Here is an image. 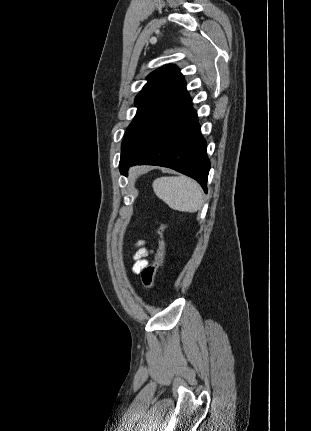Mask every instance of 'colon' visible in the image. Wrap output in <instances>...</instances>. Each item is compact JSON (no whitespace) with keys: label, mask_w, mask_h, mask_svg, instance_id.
I'll use <instances>...</instances> for the list:
<instances>
[{"label":"colon","mask_w":311,"mask_h":431,"mask_svg":"<svg viewBox=\"0 0 311 431\" xmlns=\"http://www.w3.org/2000/svg\"><path fill=\"white\" fill-rule=\"evenodd\" d=\"M166 229V222L160 224L156 228L155 235L159 242V249L153 263L146 266L142 271V281L144 285L149 289H152L154 287L156 276L167 260L168 244L165 239Z\"/></svg>","instance_id":"1"}]
</instances>
